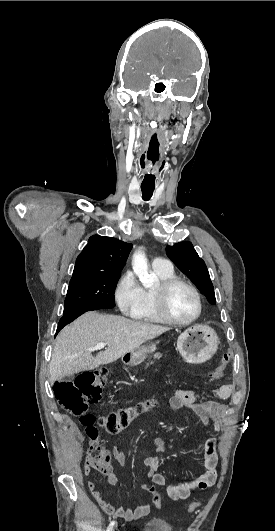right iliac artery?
Returning <instances> with one entry per match:
<instances>
[{"mask_svg":"<svg viewBox=\"0 0 275 531\" xmlns=\"http://www.w3.org/2000/svg\"><path fill=\"white\" fill-rule=\"evenodd\" d=\"M114 524H115V522L112 521V522L109 524L107 531H113Z\"/></svg>","mask_w":275,"mask_h":531,"instance_id":"right-iliac-artery-1","label":"right iliac artery"}]
</instances>
